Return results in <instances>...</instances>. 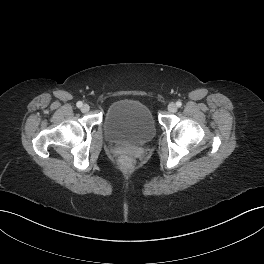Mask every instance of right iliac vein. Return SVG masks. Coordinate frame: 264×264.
Returning <instances> with one entry per match:
<instances>
[{
	"mask_svg": "<svg viewBox=\"0 0 264 264\" xmlns=\"http://www.w3.org/2000/svg\"><path fill=\"white\" fill-rule=\"evenodd\" d=\"M89 109H90L89 105H88V104H84V105L82 106V108H81V111H82L83 113H86V112L89 111Z\"/></svg>",
	"mask_w": 264,
	"mask_h": 264,
	"instance_id": "right-iliac-vein-1",
	"label": "right iliac vein"
}]
</instances>
